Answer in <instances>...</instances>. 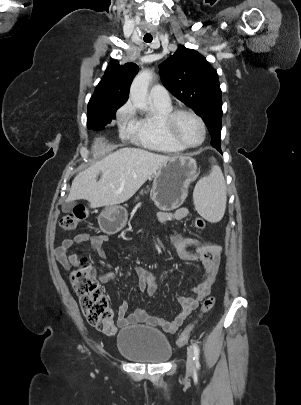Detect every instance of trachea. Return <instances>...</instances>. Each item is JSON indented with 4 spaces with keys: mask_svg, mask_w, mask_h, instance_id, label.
I'll return each mask as SVG.
<instances>
[{
    "mask_svg": "<svg viewBox=\"0 0 301 405\" xmlns=\"http://www.w3.org/2000/svg\"><path fill=\"white\" fill-rule=\"evenodd\" d=\"M152 40H153V38H152L151 35H148V36H145V37H144V42H146V43H151Z\"/></svg>",
    "mask_w": 301,
    "mask_h": 405,
    "instance_id": "obj_1",
    "label": "trachea"
}]
</instances>
